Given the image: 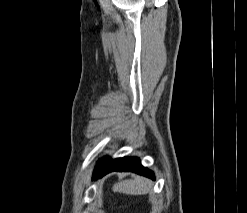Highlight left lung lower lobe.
<instances>
[{
  "instance_id": "0a47b994",
  "label": "left lung lower lobe",
  "mask_w": 247,
  "mask_h": 213,
  "mask_svg": "<svg viewBox=\"0 0 247 213\" xmlns=\"http://www.w3.org/2000/svg\"><path fill=\"white\" fill-rule=\"evenodd\" d=\"M113 171H132L145 177L154 179L152 171L143 167L140 163V159L137 157H124L117 159H109L104 157L102 160L97 162L93 173V179L102 177L103 175Z\"/></svg>"
}]
</instances>
